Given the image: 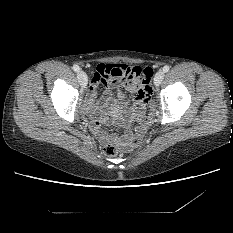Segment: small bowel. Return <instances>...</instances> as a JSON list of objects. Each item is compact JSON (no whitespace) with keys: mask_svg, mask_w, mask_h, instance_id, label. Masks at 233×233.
Returning a JSON list of instances; mask_svg holds the SVG:
<instances>
[{"mask_svg":"<svg viewBox=\"0 0 233 233\" xmlns=\"http://www.w3.org/2000/svg\"><path fill=\"white\" fill-rule=\"evenodd\" d=\"M144 68L127 66L122 63L99 62L92 78L86 99V110L92 116L90 130L101 145L119 142L124 145H136L147 129L145 116L146 101L135 99L129 103L122 90H118L116 97L112 96L113 87H125L131 93H137L139 88L148 85ZM130 71L136 81H126L125 73ZM104 84L102 100L97 102V87ZM136 122L138 126L129 130L127 135L117 136L102 129L103 122L124 124Z\"/></svg>","mask_w":233,"mask_h":233,"instance_id":"obj_1","label":"small bowel"}]
</instances>
